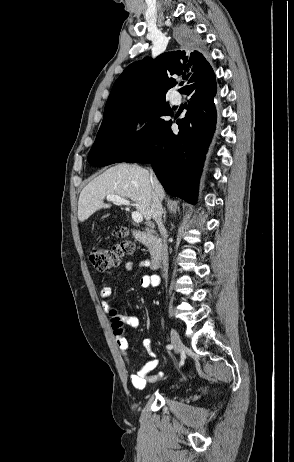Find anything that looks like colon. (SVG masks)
I'll use <instances>...</instances> for the list:
<instances>
[{"label":"colon","mask_w":294,"mask_h":462,"mask_svg":"<svg viewBox=\"0 0 294 462\" xmlns=\"http://www.w3.org/2000/svg\"><path fill=\"white\" fill-rule=\"evenodd\" d=\"M116 235L121 238V241L114 244L112 249H107L99 244H95L91 247L89 253V259L93 267L101 272L113 269L117 264L121 256L130 254L134 250L133 244L126 240L125 231L119 229ZM112 326L114 330H123V322L117 316V312L112 310L110 313Z\"/></svg>","instance_id":"obj_1"}]
</instances>
